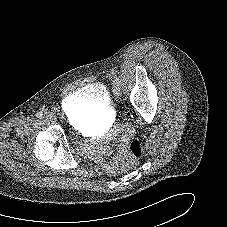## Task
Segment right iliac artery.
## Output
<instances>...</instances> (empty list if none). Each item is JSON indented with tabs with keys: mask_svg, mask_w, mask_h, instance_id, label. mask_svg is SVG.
Segmentation results:
<instances>
[{
	"mask_svg": "<svg viewBox=\"0 0 227 227\" xmlns=\"http://www.w3.org/2000/svg\"><path fill=\"white\" fill-rule=\"evenodd\" d=\"M37 117L41 118L43 116L42 112L36 114Z\"/></svg>",
	"mask_w": 227,
	"mask_h": 227,
	"instance_id": "1",
	"label": "right iliac artery"
}]
</instances>
